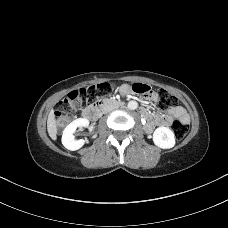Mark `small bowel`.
Instances as JSON below:
<instances>
[{
  "mask_svg": "<svg viewBox=\"0 0 228 228\" xmlns=\"http://www.w3.org/2000/svg\"><path fill=\"white\" fill-rule=\"evenodd\" d=\"M120 91L123 95H127L131 92V88L128 85H122ZM151 98L153 100H156V94L152 93ZM157 118L159 120L158 125L160 126H169L173 119H180L183 123H188L189 121L188 114L186 113L185 109L181 106H174L169 110L168 114L159 115L157 116ZM147 130L152 131L148 128Z\"/></svg>",
  "mask_w": 228,
  "mask_h": 228,
  "instance_id": "c3829d8e",
  "label": "small bowel"
}]
</instances>
